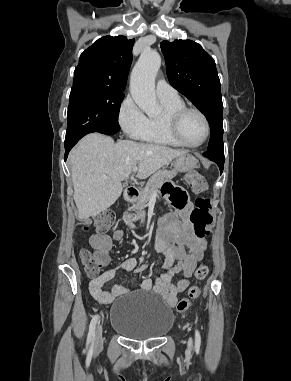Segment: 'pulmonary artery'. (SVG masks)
I'll use <instances>...</instances> for the list:
<instances>
[{
	"label": "pulmonary artery",
	"mask_w": 291,
	"mask_h": 381,
	"mask_svg": "<svg viewBox=\"0 0 291 381\" xmlns=\"http://www.w3.org/2000/svg\"><path fill=\"white\" fill-rule=\"evenodd\" d=\"M156 93L159 98L162 99H175L178 96V92L164 79H159L156 83Z\"/></svg>",
	"instance_id": "obj_1"
}]
</instances>
